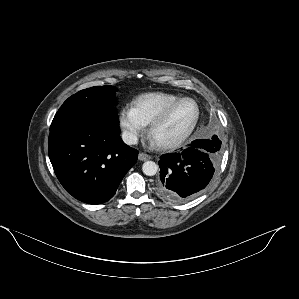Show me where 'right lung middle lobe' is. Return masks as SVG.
Listing matches in <instances>:
<instances>
[{"mask_svg":"<svg viewBox=\"0 0 299 299\" xmlns=\"http://www.w3.org/2000/svg\"><path fill=\"white\" fill-rule=\"evenodd\" d=\"M114 86H96L69 97L60 107L50 130L78 120H98L118 124Z\"/></svg>","mask_w":299,"mask_h":299,"instance_id":"right-lung-middle-lobe-1","label":"right lung middle lobe"}]
</instances>
